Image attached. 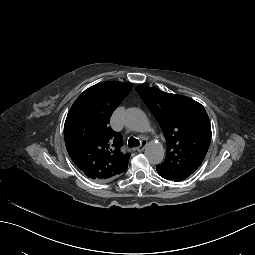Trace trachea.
<instances>
[{
    "label": "trachea",
    "instance_id": "trachea-1",
    "mask_svg": "<svg viewBox=\"0 0 255 255\" xmlns=\"http://www.w3.org/2000/svg\"><path fill=\"white\" fill-rule=\"evenodd\" d=\"M139 145H140V142L136 138H134V137L129 138L128 146L130 148H134V147H137Z\"/></svg>",
    "mask_w": 255,
    "mask_h": 255
}]
</instances>
